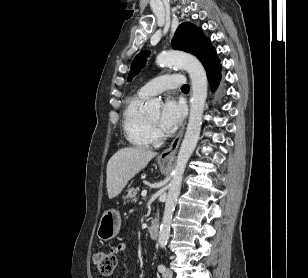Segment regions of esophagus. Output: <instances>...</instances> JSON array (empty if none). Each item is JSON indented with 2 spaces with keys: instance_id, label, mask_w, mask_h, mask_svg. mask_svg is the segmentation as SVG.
Returning <instances> with one entry per match:
<instances>
[{
  "instance_id": "1",
  "label": "esophagus",
  "mask_w": 308,
  "mask_h": 278,
  "mask_svg": "<svg viewBox=\"0 0 308 278\" xmlns=\"http://www.w3.org/2000/svg\"><path fill=\"white\" fill-rule=\"evenodd\" d=\"M185 124L180 129L179 133L176 135V137L173 139L171 144L167 149H165L159 156L160 160L162 161H172L177 153V150L179 148L180 142L182 140L183 134H184Z\"/></svg>"
}]
</instances>
